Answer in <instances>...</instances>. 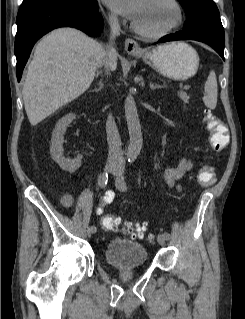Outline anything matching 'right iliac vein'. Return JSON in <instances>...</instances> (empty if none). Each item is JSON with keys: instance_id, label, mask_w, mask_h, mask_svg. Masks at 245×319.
Here are the masks:
<instances>
[{"instance_id": "63e3f726", "label": "right iliac vein", "mask_w": 245, "mask_h": 319, "mask_svg": "<svg viewBox=\"0 0 245 319\" xmlns=\"http://www.w3.org/2000/svg\"><path fill=\"white\" fill-rule=\"evenodd\" d=\"M118 169V164L114 163V162H107L106 165H105V172H110V171H116ZM92 230L91 228L89 227L86 231V236L87 237H90L91 234H92Z\"/></svg>"}]
</instances>
